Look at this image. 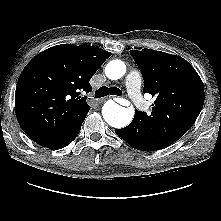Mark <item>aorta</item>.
I'll list each match as a JSON object with an SVG mask.
<instances>
[{
    "mask_svg": "<svg viewBox=\"0 0 221 221\" xmlns=\"http://www.w3.org/2000/svg\"><path fill=\"white\" fill-rule=\"evenodd\" d=\"M126 73V65L121 60H112L105 67V75L111 80H118ZM104 120L114 128L126 127L133 119L134 109L124 108L113 100H108L102 108Z\"/></svg>",
    "mask_w": 221,
    "mask_h": 221,
    "instance_id": "1",
    "label": "aorta"
}]
</instances>
